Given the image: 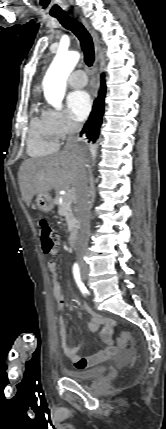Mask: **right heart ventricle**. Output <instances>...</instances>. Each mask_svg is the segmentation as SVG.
<instances>
[{
	"label": "right heart ventricle",
	"mask_w": 166,
	"mask_h": 429,
	"mask_svg": "<svg viewBox=\"0 0 166 429\" xmlns=\"http://www.w3.org/2000/svg\"><path fill=\"white\" fill-rule=\"evenodd\" d=\"M33 112L27 139L28 153L33 157L52 154L59 147L58 140L51 133L43 114H37V106H34Z\"/></svg>",
	"instance_id": "right-heart-ventricle-1"
}]
</instances>
